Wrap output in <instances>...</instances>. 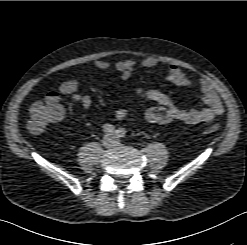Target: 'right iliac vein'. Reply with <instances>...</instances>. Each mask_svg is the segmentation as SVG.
<instances>
[{"label":"right iliac vein","instance_id":"63e3f726","mask_svg":"<svg viewBox=\"0 0 247 245\" xmlns=\"http://www.w3.org/2000/svg\"><path fill=\"white\" fill-rule=\"evenodd\" d=\"M102 143H103L105 146H111V145L113 144V138H112V136L106 135V136L103 138Z\"/></svg>","mask_w":247,"mask_h":245}]
</instances>
